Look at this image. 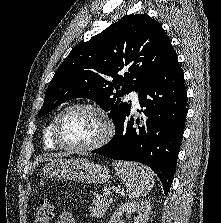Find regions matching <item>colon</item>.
Returning a JSON list of instances; mask_svg holds the SVG:
<instances>
[{"mask_svg":"<svg viewBox=\"0 0 221 223\" xmlns=\"http://www.w3.org/2000/svg\"><path fill=\"white\" fill-rule=\"evenodd\" d=\"M54 217V205L50 200H40L35 209L34 223H51Z\"/></svg>","mask_w":221,"mask_h":223,"instance_id":"1","label":"colon"}]
</instances>
